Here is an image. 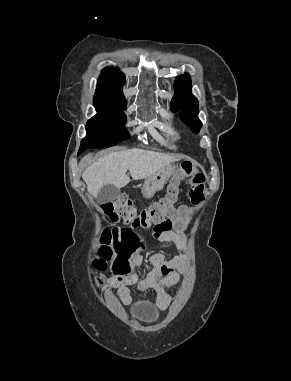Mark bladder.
<instances>
[{"label": "bladder", "mask_w": 291, "mask_h": 381, "mask_svg": "<svg viewBox=\"0 0 291 381\" xmlns=\"http://www.w3.org/2000/svg\"><path fill=\"white\" fill-rule=\"evenodd\" d=\"M131 316L140 322H153L158 318V314L150 312L144 305H133Z\"/></svg>", "instance_id": "obj_1"}]
</instances>
